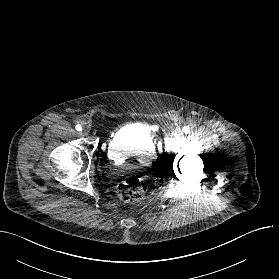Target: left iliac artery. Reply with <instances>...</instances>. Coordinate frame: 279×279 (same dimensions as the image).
<instances>
[{
	"mask_svg": "<svg viewBox=\"0 0 279 279\" xmlns=\"http://www.w3.org/2000/svg\"><path fill=\"white\" fill-rule=\"evenodd\" d=\"M190 131V128L189 127H187V126H185L184 128H183V132L184 133H188Z\"/></svg>",
	"mask_w": 279,
	"mask_h": 279,
	"instance_id": "1",
	"label": "left iliac artery"
}]
</instances>
